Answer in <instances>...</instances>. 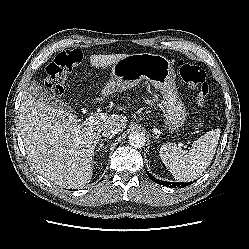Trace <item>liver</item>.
Masks as SVG:
<instances>
[{
	"mask_svg": "<svg viewBox=\"0 0 249 249\" xmlns=\"http://www.w3.org/2000/svg\"><path fill=\"white\" fill-rule=\"evenodd\" d=\"M125 56L92 55L90 63L104 68ZM107 83L100 89L104 97L116 93ZM109 125L123 131L127 118L111 115L98 124H81L70 112L50 106L26 90L22 94L19 128L28 159L39 174L61 187L76 189L90 182L95 147L102 129Z\"/></svg>",
	"mask_w": 249,
	"mask_h": 249,
	"instance_id": "1",
	"label": "liver"
}]
</instances>
